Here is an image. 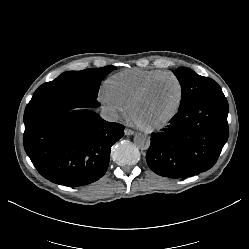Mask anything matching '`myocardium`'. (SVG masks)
Returning <instances> with one entry per match:
<instances>
[{
    "mask_svg": "<svg viewBox=\"0 0 249 249\" xmlns=\"http://www.w3.org/2000/svg\"><path fill=\"white\" fill-rule=\"evenodd\" d=\"M163 77H172L173 79L176 80L178 86H179V99L177 102L176 107L172 111V113L165 118L164 120H161L157 123H154L152 125H141L142 129L148 132H153L156 130H160L168 126L178 115L180 112V109L182 107L184 97H185V89H184V84L182 80L179 78L178 75H176L173 72H163L160 73L154 77H152L150 80H148L142 87L141 89L137 92V94L133 97L131 102L129 103V112L132 114L133 109L135 106L139 103V101L148 93L150 88L154 85L155 82H157L159 79Z\"/></svg>",
    "mask_w": 249,
    "mask_h": 249,
    "instance_id": "f54148a6",
    "label": "myocardium"
}]
</instances>
